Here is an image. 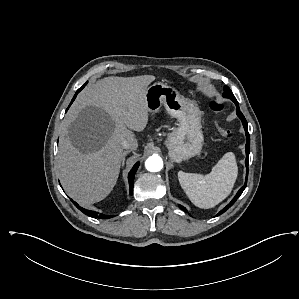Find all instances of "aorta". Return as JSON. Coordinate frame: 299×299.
Returning <instances> with one entry per match:
<instances>
[{
    "mask_svg": "<svg viewBox=\"0 0 299 299\" xmlns=\"http://www.w3.org/2000/svg\"><path fill=\"white\" fill-rule=\"evenodd\" d=\"M145 168L150 172H158L163 168V160L158 155H152L145 161Z\"/></svg>",
    "mask_w": 299,
    "mask_h": 299,
    "instance_id": "obj_1",
    "label": "aorta"
}]
</instances>
